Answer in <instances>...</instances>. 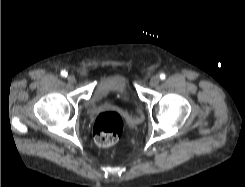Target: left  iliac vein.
<instances>
[{"instance_id": "left-iliac-vein-1", "label": "left iliac vein", "mask_w": 245, "mask_h": 187, "mask_svg": "<svg viewBox=\"0 0 245 187\" xmlns=\"http://www.w3.org/2000/svg\"><path fill=\"white\" fill-rule=\"evenodd\" d=\"M159 82H160L159 76H153V77L150 79L149 84H150V86L155 87V86H157V85L159 84Z\"/></svg>"}]
</instances>
